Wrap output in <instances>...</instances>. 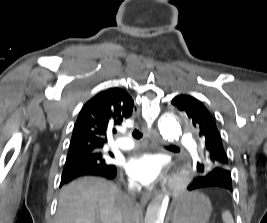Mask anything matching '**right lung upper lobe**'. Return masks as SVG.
<instances>
[{"mask_svg": "<svg viewBox=\"0 0 267 223\" xmlns=\"http://www.w3.org/2000/svg\"><path fill=\"white\" fill-rule=\"evenodd\" d=\"M133 107L132 97L121 88H110L98 93L83 106L78 115L70 150L84 146L103 148L107 143L108 131L128 119Z\"/></svg>", "mask_w": 267, "mask_h": 223, "instance_id": "cb5924a9", "label": "right lung upper lobe"}]
</instances>
